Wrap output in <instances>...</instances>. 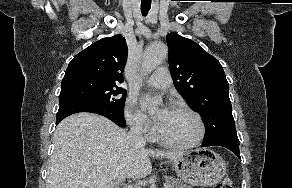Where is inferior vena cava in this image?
<instances>
[{
  "label": "inferior vena cava",
  "mask_w": 292,
  "mask_h": 188,
  "mask_svg": "<svg viewBox=\"0 0 292 188\" xmlns=\"http://www.w3.org/2000/svg\"><path fill=\"white\" fill-rule=\"evenodd\" d=\"M130 128L131 130L128 132L127 136L131 143L140 147L145 146L146 142L143 137V127L141 121H133L130 124Z\"/></svg>",
  "instance_id": "obj_1"
}]
</instances>
